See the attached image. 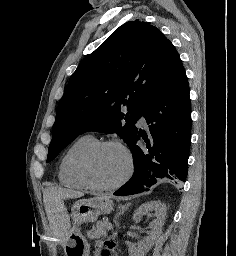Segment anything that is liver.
I'll use <instances>...</instances> for the list:
<instances>
[{"label": "liver", "instance_id": "obj_1", "mask_svg": "<svg viewBox=\"0 0 236 256\" xmlns=\"http://www.w3.org/2000/svg\"><path fill=\"white\" fill-rule=\"evenodd\" d=\"M82 192H73V190H66V188H46L44 190V206L48 220H53L54 212L57 210L58 200H65V198H81Z\"/></svg>", "mask_w": 236, "mask_h": 256}]
</instances>
